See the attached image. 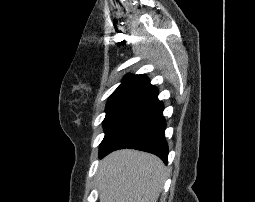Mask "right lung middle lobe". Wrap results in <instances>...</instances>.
Listing matches in <instances>:
<instances>
[{
    "label": "right lung middle lobe",
    "mask_w": 255,
    "mask_h": 202,
    "mask_svg": "<svg viewBox=\"0 0 255 202\" xmlns=\"http://www.w3.org/2000/svg\"><path fill=\"white\" fill-rule=\"evenodd\" d=\"M134 115L135 113L129 112L112 113L106 115L103 121L105 137L100 144L99 157L107 149L113 137Z\"/></svg>",
    "instance_id": "dd1d6c3e"
}]
</instances>
